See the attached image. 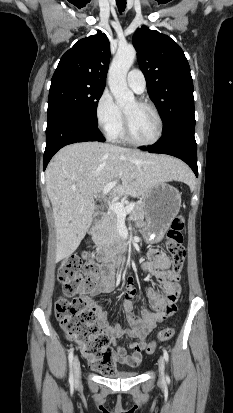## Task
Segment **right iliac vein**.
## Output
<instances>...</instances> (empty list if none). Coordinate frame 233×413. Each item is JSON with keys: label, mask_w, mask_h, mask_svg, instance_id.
Segmentation results:
<instances>
[{"label": "right iliac vein", "mask_w": 233, "mask_h": 413, "mask_svg": "<svg viewBox=\"0 0 233 413\" xmlns=\"http://www.w3.org/2000/svg\"><path fill=\"white\" fill-rule=\"evenodd\" d=\"M73 369H74V380H75V383L78 384L81 380V367H80V362L77 356L74 358Z\"/></svg>", "instance_id": "1"}]
</instances>
